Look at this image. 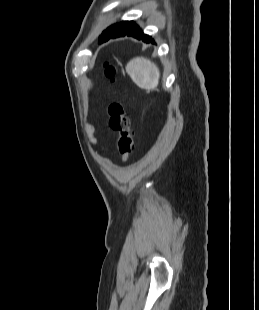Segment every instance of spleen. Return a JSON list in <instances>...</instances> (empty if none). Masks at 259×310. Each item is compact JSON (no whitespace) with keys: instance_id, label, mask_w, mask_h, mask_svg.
<instances>
[{"instance_id":"1","label":"spleen","mask_w":259,"mask_h":310,"mask_svg":"<svg viewBox=\"0 0 259 310\" xmlns=\"http://www.w3.org/2000/svg\"><path fill=\"white\" fill-rule=\"evenodd\" d=\"M126 72L133 82L147 91L156 89L160 71L156 64L144 57H136L126 65Z\"/></svg>"}]
</instances>
